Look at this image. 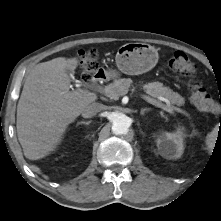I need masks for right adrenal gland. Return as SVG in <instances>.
<instances>
[{"mask_svg": "<svg viewBox=\"0 0 221 221\" xmlns=\"http://www.w3.org/2000/svg\"><path fill=\"white\" fill-rule=\"evenodd\" d=\"M90 123H91V121H80L77 123V125H82V124L89 125Z\"/></svg>", "mask_w": 221, "mask_h": 221, "instance_id": "right-adrenal-gland-1", "label": "right adrenal gland"}]
</instances>
